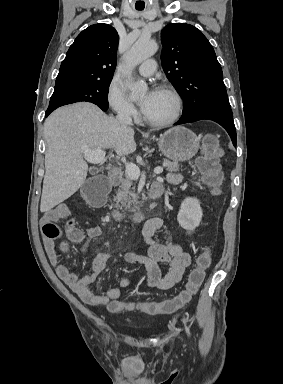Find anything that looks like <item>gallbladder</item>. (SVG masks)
I'll return each instance as SVG.
<instances>
[{
	"instance_id": "bac80fb5",
	"label": "gallbladder",
	"mask_w": 283,
	"mask_h": 384,
	"mask_svg": "<svg viewBox=\"0 0 283 384\" xmlns=\"http://www.w3.org/2000/svg\"><path fill=\"white\" fill-rule=\"evenodd\" d=\"M93 170H94L95 172H98V171L100 170V167H99L98 165H95V166L93 167Z\"/></svg>"
}]
</instances>
